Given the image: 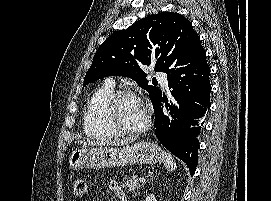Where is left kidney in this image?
Instances as JSON below:
<instances>
[{
	"label": "left kidney",
	"instance_id": "left-kidney-1",
	"mask_svg": "<svg viewBox=\"0 0 271 201\" xmlns=\"http://www.w3.org/2000/svg\"><path fill=\"white\" fill-rule=\"evenodd\" d=\"M145 201H157L154 194H149Z\"/></svg>",
	"mask_w": 271,
	"mask_h": 201
}]
</instances>
